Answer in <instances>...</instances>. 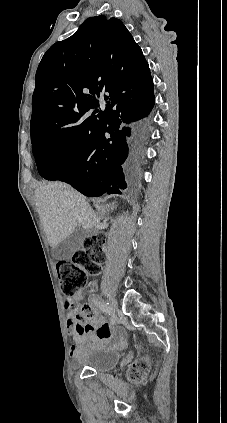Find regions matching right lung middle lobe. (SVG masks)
I'll list each match as a JSON object with an SVG mask.
<instances>
[{"instance_id": "right-lung-middle-lobe-1", "label": "right lung middle lobe", "mask_w": 227, "mask_h": 423, "mask_svg": "<svg viewBox=\"0 0 227 423\" xmlns=\"http://www.w3.org/2000/svg\"><path fill=\"white\" fill-rule=\"evenodd\" d=\"M94 143V136L78 139L59 135L33 142L32 151L39 174L47 180H62L68 177Z\"/></svg>"}]
</instances>
